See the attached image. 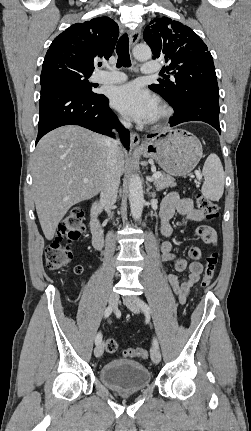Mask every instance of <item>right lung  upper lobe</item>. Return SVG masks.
Here are the masks:
<instances>
[{
  "mask_svg": "<svg viewBox=\"0 0 251 431\" xmlns=\"http://www.w3.org/2000/svg\"><path fill=\"white\" fill-rule=\"evenodd\" d=\"M118 35V25L109 17L76 23L53 40L43 67L53 62H70L93 72L96 58L108 59L112 55Z\"/></svg>",
  "mask_w": 251,
  "mask_h": 431,
  "instance_id": "1",
  "label": "right lung upper lobe"
}]
</instances>
